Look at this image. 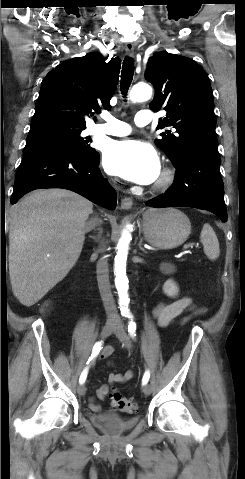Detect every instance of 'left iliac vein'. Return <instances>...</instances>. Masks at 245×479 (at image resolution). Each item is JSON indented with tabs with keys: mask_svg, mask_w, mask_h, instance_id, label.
I'll list each match as a JSON object with an SVG mask.
<instances>
[{
	"mask_svg": "<svg viewBox=\"0 0 245 479\" xmlns=\"http://www.w3.org/2000/svg\"><path fill=\"white\" fill-rule=\"evenodd\" d=\"M114 334L117 336V338L122 342V344L130 349L131 348V341L129 336L127 335V332L124 328V325L121 322H117L116 326L114 328ZM151 385L150 384H145L143 387V393L148 396L151 393Z\"/></svg>",
	"mask_w": 245,
	"mask_h": 479,
	"instance_id": "4c4485c4",
	"label": "left iliac vein"
}]
</instances>
